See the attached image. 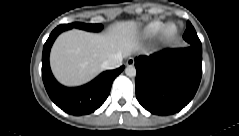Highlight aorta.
<instances>
[{
	"label": "aorta",
	"instance_id": "obj_1",
	"mask_svg": "<svg viewBox=\"0 0 239 136\" xmlns=\"http://www.w3.org/2000/svg\"><path fill=\"white\" fill-rule=\"evenodd\" d=\"M125 74L129 77H135L136 76V68L132 65H129L125 68Z\"/></svg>",
	"mask_w": 239,
	"mask_h": 136
}]
</instances>
